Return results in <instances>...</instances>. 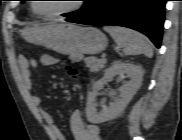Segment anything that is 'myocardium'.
Listing matches in <instances>:
<instances>
[{"instance_id":"1","label":"myocardium","mask_w":182,"mask_h":140,"mask_svg":"<svg viewBox=\"0 0 182 140\" xmlns=\"http://www.w3.org/2000/svg\"><path fill=\"white\" fill-rule=\"evenodd\" d=\"M82 7V4L80 1H77V3H75L71 8L66 9V10H62V11H58V12H54V13H50V14H42L38 11L36 4H33L32 9L34 11V13L42 18V19H53V18H57L63 15H67L70 14L72 12H75L77 10H79Z\"/></svg>"}]
</instances>
